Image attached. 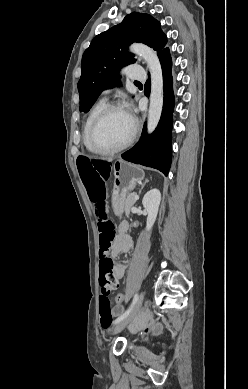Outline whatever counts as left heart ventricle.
Wrapping results in <instances>:
<instances>
[{
    "label": "left heart ventricle",
    "mask_w": 248,
    "mask_h": 389,
    "mask_svg": "<svg viewBox=\"0 0 248 389\" xmlns=\"http://www.w3.org/2000/svg\"><path fill=\"white\" fill-rule=\"evenodd\" d=\"M133 122L123 110L110 112L95 133V142L102 148H113L124 143L132 134Z\"/></svg>",
    "instance_id": "obj_1"
}]
</instances>
